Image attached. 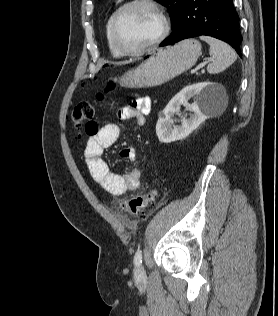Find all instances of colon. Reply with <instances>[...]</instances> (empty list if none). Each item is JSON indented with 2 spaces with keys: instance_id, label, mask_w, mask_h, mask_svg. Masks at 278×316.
<instances>
[{
  "instance_id": "5ec220e1",
  "label": "colon",
  "mask_w": 278,
  "mask_h": 316,
  "mask_svg": "<svg viewBox=\"0 0 278 316\" xmlns=\"http://www.w3.org/2000/svg\"><path fill=\"white\" fill-rule=\"evenodd\" d=\"M115 88L114 81H110L105 89V92H111ZM104 93L97 95V100L102 101L104 99ZM95 115L94 107L88 103L81 101L77 103L71 113V118L76 127H78V137H81L83 133L91 136L98 131V124L93 120ZM84 130H80L81 127ZM157 197V191L151 189L144 194L132 196L123 202L124 211L131 216L142 215L147 209H149L155 202Z\"/></svg>"
}]
</instances>
